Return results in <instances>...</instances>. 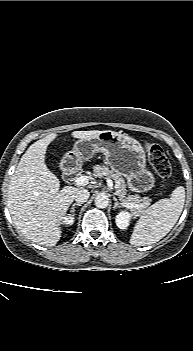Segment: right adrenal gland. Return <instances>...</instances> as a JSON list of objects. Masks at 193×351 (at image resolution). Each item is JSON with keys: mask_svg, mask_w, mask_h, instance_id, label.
<instances>
[{"mask_svg": "<svg viewBox=\"0 0 193 351\" xmlns=\"http://www.w3.org/2000/svg\"><path fill=\"white\" fill-rule=\"evenodd\" d=\"M75 206H81V203H74L71 207V212L74 213L75 212Z\"/></svg>", "mask_w": 193, "mask_h": 351, "instance_id": "1", "label": "right adrenal gland"}]
</instances>
